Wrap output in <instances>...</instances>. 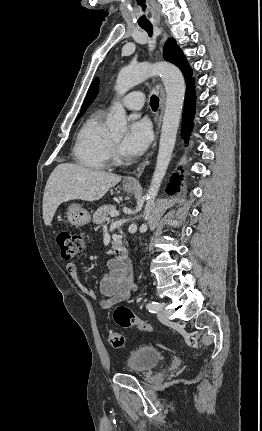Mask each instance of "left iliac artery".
<instances>
[{"label": "left iliac artery", "instance_id": "left-iliac-artery-1", "mask_svg": "<svg viewBox=\"0 0 262 431\" xmlns=\"http://www.w3.org/2000/svg\"><path fill=\"white\" fill-rule=\"evenodd\" d=\"M146 307L149 310V312L155 313L160 310L161 305L156 301H152L151 303L147 304Z\"/></svg>", "mask_w": 262, "mask_h": 431}]
</instances>
